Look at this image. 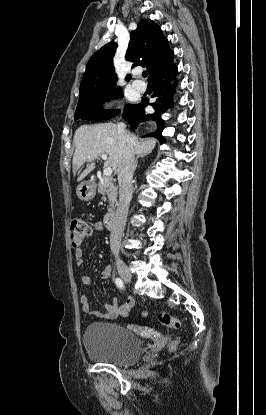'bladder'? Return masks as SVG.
I'll use <instances>...</instances> for the list:
<instances>
[{"label":"bladder","instance_id":"1","mask_svg":"<svg viewBox=\"0 0 266 415\" xmlns=\"http://www.w3.org/2000/svg\"><path fill=\"white\" fill-rule=\"evenodd\" d=\"M83 345L90 359L114 365L134 364L143 354L142 343L133 331L109 322L90 323Z\"/></svg>","mask_w":266,"mask_h":415}]
</instances>
